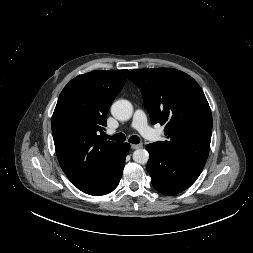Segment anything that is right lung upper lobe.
Here are the masks:
<instances>
[{"label": "right lung upper lobe", "mask_w": 253, "mask_h": 253, "mask_svg": "<svg viewBox=\"0 0 253 253\" xmlns=\"http://www.w3.org/2000/svg\"><path fill=\"white\" fill-rule=\"evenodd\" d=\"M128 70H98L72 79L62 90L51 127L59 164L78 188L90 184L120 144L99 137Z\"/></svg>", "instance_id": "right-lung-upper-lobe-1"}]
</instances>
